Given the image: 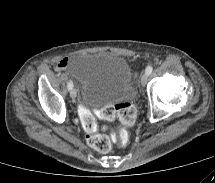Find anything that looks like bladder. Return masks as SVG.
<instances>
[{
  "mask_svg": "<svg viewBox=\"0 0 215 183\" xmlns=\"http://www.w3.org/2000/svg\"><path fill=\"white\" fill-rule=\"evenodd\" d=\"M71 73L81 82V102L86 107L130 100L136 95L131 67L122 56L84 52L71 59Z\"/></svg>",
  "mask_w": 215,
  "mask_h": 183,
  "instance_id": "31cf9c89",
  "label": "bladder"
}]
</instances>
